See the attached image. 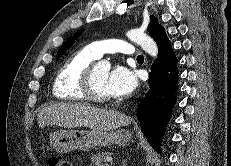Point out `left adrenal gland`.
<instances>
[{
  "mask_svg": "<svg viewBox=\"0 0 231 166\" xmlns=\"http://www.w3.org/2000/svg\"><path fill=\"white\" fill-rule=\"evenodd\" d=\"M121 166H126V160L123 161L122 165Z\"/></svg>",
  "mask_w": 231,
  "mask_h": 166,
  "instance_id": "1",
  "label": "left adrenal gland"
}]
</instances>
